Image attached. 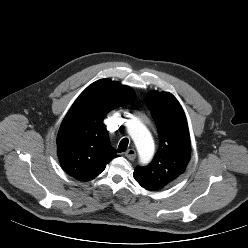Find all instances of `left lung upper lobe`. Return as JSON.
I'll return each instance as SVG.
<instances>
[{
  "mask_svg": "<svg viewBox=\"0 0 248 248\" xmlns=\"http://www.w3.org/2000/svg\"><path fill=\"white\" fill-rule=\"evenodd\" d=\"M147 105L156 123L160 147L147 166H137L134 179L145 189L156 191L182 175L191 157L190 136L185 113L168 92L151 91Z\"/></svg>",
  "mask_w": 248,
  "mask_h": 248,
  "instance_id": "5c2ea615",
  "label": "left lung upper lobe"
}]
</instances>
